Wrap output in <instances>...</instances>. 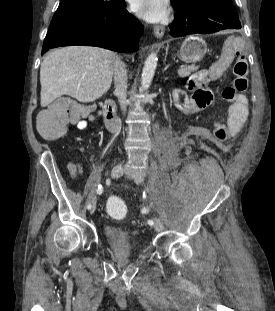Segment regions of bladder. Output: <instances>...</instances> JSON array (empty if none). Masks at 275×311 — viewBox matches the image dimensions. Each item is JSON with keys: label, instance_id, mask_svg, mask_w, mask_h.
Wrapping results in <instances>:
<instances>
[{"label": "bladder", "instance_id": "obj_1", "mask_svg": "<svg viewBox=\"0 0 275 311\" xmlns=\"http://www.w3.org/2000/svg\"><path fill=\"white\" fill-rule=\"evenodd\" d=\"M106 235L109 240L118 246H132L135 242V233L126 228L107 227Z\"/></svg>", "mask_w": 275, "mask_h": 311}]
</instances>
